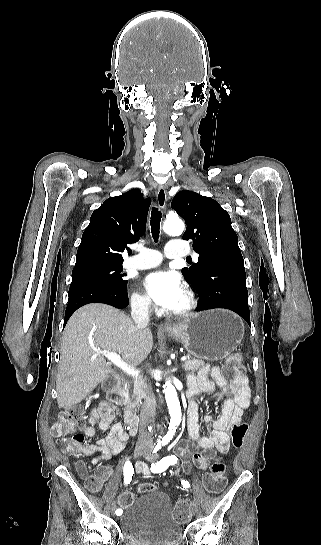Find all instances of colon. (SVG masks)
<instances>
[{
    "instance_id": "colon-1",
    "label": "colon",
    "mask_w": 321,
    "mask_h": 545,
    "mask_svg": "<svg viewBox=\"0 0 321 545\" xmlns=\"http://www.w3.org/2000/svg\"><path fill=\"white\" fill-rule=\"evenodd\" d=\"M224 373L233 378L244 376L245 366L237 357H230L225 360L223 365ZM84 411L82 408H73L63 411L59 414L56 422L52 426V434L61 451L68 454H74L78 451L84 441V435L81 433ZM248 425L245 422H235L230 427V437L234 447L239 448L243 445ZM77 472L84 480L85 486L92 492H97L102 486V481L97 475H89L83 462L77 463ZM227 481V468L220 460H215L204 476L205 489L212 494L220 493L225 487ZM155 486L150 483H144L139 487L140 493L155 490ZM135 500L132 492L123 493L117 501L121 510L130 506ZM174 516L180 522H186L190 518L189 506L187 502L181 501L174 508Z\"/></svg>"
}]
</instances>
